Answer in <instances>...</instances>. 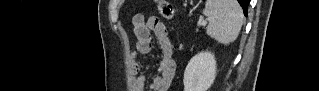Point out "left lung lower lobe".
Segmentation results:
<instances>
[{
    "label": "left lung lower lobe",
    "mask_w": 319,
    "mask_h": 91,
    "mask_svg": "<svg viewBox=\"0 0 319 91\" xmlns=\"http://www.w3.org/2000/svg\"><path fill=\"white\" fill-rule=\"evenodd\" d=\"M241 7L243 8V11H244V15H247V7H248V4H249V0H237Z\"/></svg>",
    "instance_id": "1"
}]
</instances>
